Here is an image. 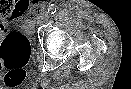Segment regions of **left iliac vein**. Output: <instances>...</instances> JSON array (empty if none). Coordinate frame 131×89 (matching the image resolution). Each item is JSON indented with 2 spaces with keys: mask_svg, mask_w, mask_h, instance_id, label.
Wrapping results in <instances>:
<instances>
[{
  "mask_svg": "<svg viewBox=\"0 0 131 89\" xmlns=\"http://www.w3.org/2000/svg\"><path fill=\"white\" fill-rule=\"evenodd\" d=\"M48 12H43L42 13V15H41V17L39 18V23H44V22H46L47 21V19H48Z\"/></svg>",
  "mask_w": 131,
  "mask_h": 89,
  "instance_id": "1",
  "label": "left iliac vein"
}]
</instances>
